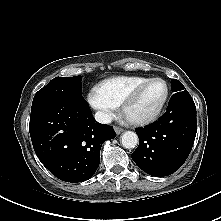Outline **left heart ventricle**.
Here are the masks:
<instances>
[{
    "label": "left heart ventricle",
    "instance_id": "left-heart-ventricle-1",
    "mask_svg": "<svg viewBox=\"0 0 221 221\" xmlns=\"http://www.w3.org/2000/svg\"><path fill=\"white\" fill-rule=\"evenodd\" d=\"M165 94V87L160 82L147 86L141 93L139 99L130 107L128 115L130 118H144L152 114L161 103Z\"/></svg>",
    "mask_w": 221,
    "mask_h": 221
}]
</instances>
